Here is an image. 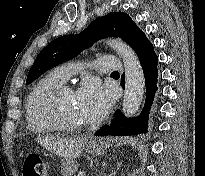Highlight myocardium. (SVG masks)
<instances>
[{
    "mask_svg": "<svg viewBox=\"0 0 205 176\" xmlns=\"http://www.w3.org/2000/svg\"><path fill=\"white\" fill-rule=\"evenodd\" d=\"M70 93H73L72 86L62 84L47 93L41 100L40 114L44 119L49 121L56 130L76 131L87 126L86 123H70L61 118L59 114L58 102L63 96Z\"/></svg>",
    "mask_w": 205,
    "mask_h": 176,
    "instance_id": "myocardium-1",
    "label": "myocardium"
}]
</instances>
